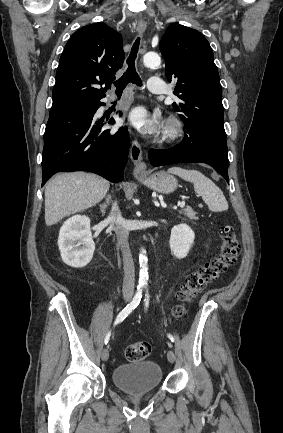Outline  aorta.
Instances as JSON below:
<instances>
[{
    "mask_svg": "<svg viewBox=\"0 0 283 433\" xmlns=\"http://www.w3.org/2000/svg\"><path fill=\"white\" fill-rule=\"evenodd\" d=\"M143 62L146 67L156 68L160 65V56L155 52H148L143 57ZM146 250L142 249L139 254L140 273H139V286L146 287L148 285V267H147Z\"/></svg>",
    "mask_w": 283,
    "mask_h": 433,
    "instance_id": "obj_1",
    "label": "aorta"
}]
</instances>
